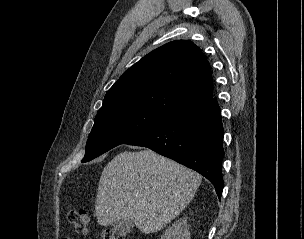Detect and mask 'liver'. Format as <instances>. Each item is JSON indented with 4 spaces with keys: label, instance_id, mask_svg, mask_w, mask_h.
Returning <instances> with one entry per match:
<instances>
[{
    "label": "liver",
    "instance_id": "6515ba94",
    "mask_svg": "<svg viewBox=\"0 0 304 239\" xmlns=\"http://www.w3.org/2000/svg\"><path fill=\"white\" fill-rule=\"evenodd\" d=\"M202 177L145 149L117 154L103 169L96 197L97 222L130 219L144 234L170 223L192 200Z\"/></svg>",
    "mask_w": 304,
    "mask_h": 239
}]
</instances>
